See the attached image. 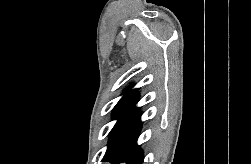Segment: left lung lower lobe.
I'll list each match as a JSON object with an SVG mask.
<instances>
[{"instance_id": "left-lung-lower-lobe-1", "label": "left lung lower lobe", "mask_w": 251, "mask_h": 164, "mask_svg": "<svg viewBox=\"0 0 251 164\" xmlns=\"http://www.w3.org/2000/svg\"><path fill=\"white\" fill-rule=\"evenodd\" d=\"M140 117V108L134 106L116 136L113 153L104 162L142 164L143 153L137 145L141 129Z\"/></svg>"}]
</instances>
